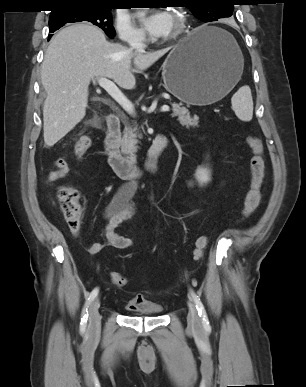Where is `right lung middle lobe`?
<instances>
[{"label":"right lung middle lobe","instance_id":"dd1d6c3e","mask_svg":"<svg viewBox=\"0 0 306 387\" xmlns=\"http://www.w3.org/2000/svg\"><path fill=\"white\" fill-rule=\"evenodd\" d=\"M111 8L102 6H72L52 12L49 17L50 33L58 30L66 23L88 21L100 27L108 37L115 36L112 25Z\"/></svg>","mask_w":306,"mask_h":387}]
</instances>
